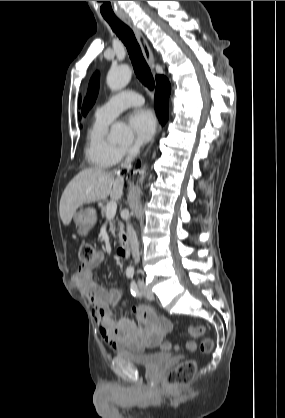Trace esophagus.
<instances>
[{"instance_id":"esophagus-1","label":"esophagus","mask_w":285,"mask_h":418,"mask_svg":"<svg viewBox=\"0 0 285 418\" xmlns=\"http://www.w3.org/2000/svg\"><path fill=\"white\" fill-rule=\"evenodd\" d=\"M119 18L133 30V32L136 35V38H137V40H138V42L141 46L143 56H144L146 62L148 63V65L150 66V68L153 70L154 69L153 54H152L150 46H149L146 38L144 37L142 31L139 29V27L136 25V23H134L128 15L122 14V15H119ZM160 129H161V127L159 126L158 131H160Z\"/></svg>"}]
</instances>
